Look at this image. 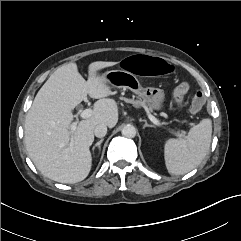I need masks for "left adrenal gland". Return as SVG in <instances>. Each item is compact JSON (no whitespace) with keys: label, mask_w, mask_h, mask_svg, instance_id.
Wrapping results in <instances>:
<instances>
[{"label":"left adrenal gland","mask_w":241,"mask_h":241,"mask_svg":"<svg viewBox=\"0 0 241 241\" xmlns=\"http://www.w3.org/2000/svg\"><path fill=\"white\" fill-rule=\"evenodd\" d=\"M140 121L145 123L144 126H143V129H145L146 127H154V125L148 124L146 120L140 119Z\"/></svg>","instance_id":"a2214340"}]
</instances>
